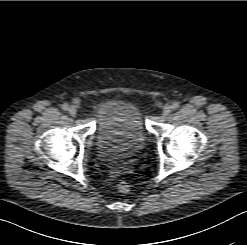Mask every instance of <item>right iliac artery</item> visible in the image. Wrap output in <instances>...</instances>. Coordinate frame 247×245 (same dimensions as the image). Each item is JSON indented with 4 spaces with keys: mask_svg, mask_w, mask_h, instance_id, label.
Returning <instances> with one entry per match:
<instances>
[{
    "mask_svg": "<svg viewBox=\"0 0 247 245\" xmlns=\"http://www.w3.org/2000/svg\"><path fill=\"white\" fill-rule=\"evenodd\" d=\"M62 109H63L64 111H67V110L69 109L68 104L64 103V104L62 105Z\"/></svg>",
    "mask_w": 247,
    "mask_h": 245,
    "instance_id": "right-iliac-artery-1",
    "label": "right iliac artery"
}]
</instances>
